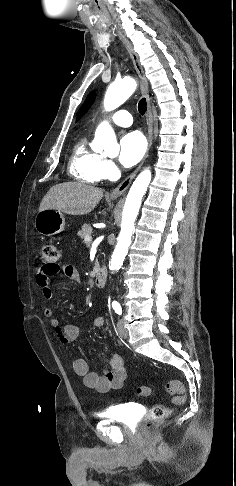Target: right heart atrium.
Masks as SVG:
<instances>
[{
  "mask_svg": "<svg viewBox=\"0 0 236 486\" xmlns=\"http://www.w3.org/2000/svg\"><path fill=\"white\" fill-rule=\"evenodd\" d=\"M101 170H102L103 178L110 179L116 174L117 167L113 161L104 159Z\"/></svg>",
  "mask_w": 236,
  "mask_h": 486,
  "instance_id": "1",
  "label": "right heart atrium"
}]
</instances>
